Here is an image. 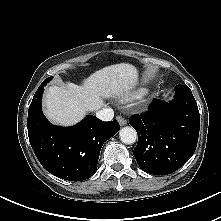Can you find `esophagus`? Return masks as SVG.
I'll use <instances>...</instances> for the list:
<instances>
[{
	"mask_svg": "<svg viewBox=\"0 0 221 221\" xmlns=\"http://www.w3.org/2000/svg\"><path fill=\"white\" fill-rule=\"evenodd\" d=\"M116 120L118 121V123H119L121 126H124V125L127 124V120H126L124 117H122V116H117V117H116Z\"/></svg>",
	"mask_w": 221,
	"mask_h": 221,
	"instance_id": "esophagus-1",
	"label": "esophagus"
}]
</instances>
